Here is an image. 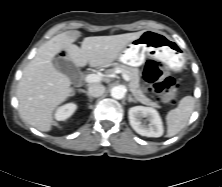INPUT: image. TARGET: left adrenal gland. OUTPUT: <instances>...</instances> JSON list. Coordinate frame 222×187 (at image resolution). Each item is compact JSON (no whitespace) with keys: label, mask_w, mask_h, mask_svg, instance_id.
<instances>
[{"label":"left adrenal gland","mask_w":222,"mask_h":187,"mask_svg":"<svg viewBox=\"0 0 222 187\" xmlns=\"http://www.w3.org/2000/svg\"><path fill=\"white\" fill-rule=\"evenodd\" d=\"M128 102H137L134 98H132V95L128 96Z\"/></svg>","instance_id":"a2214340"}]
</instances>
